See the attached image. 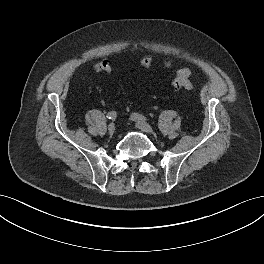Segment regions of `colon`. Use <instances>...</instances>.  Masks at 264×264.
<instances>
[{"instance_id":"colon-1","label":"colon","mask_w":264,"mask_h":264,"mask_svg":"<svg viewBox=\"0 0 264 264\" xmlns=\"http://www.w3.org/2000/svg\"><path fill=\"white\" fill-rule=\"evenodd\" d=\"M152 57L145 56L141 59L140 64L144 68H149L152 65ZM96 69L103 72L111 71V64L108 61H102L97 64ZM191 71L187 68L179 69L175 78L172 80V86L175 89L190 90L192 83L190 81Z\"/></svg>"}]
</instances>
